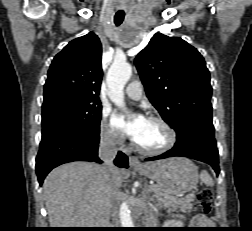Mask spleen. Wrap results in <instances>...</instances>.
I'll use <instances>...</instances> for the list:
<instances>
[{
  "label": "spleen",
  "instance_id": "3e777b00",
  "mask_svg": "<svg viewBox=\"0 0 252 231\" xmlns=\"http://www.w3.org/2000/svg\"><path fill=\"white\" fill-rule=\"evenodd\" d=\"M200 179L207 186H213L214 185L213 179L211 178V176L206 171L201 172Z\"/></svg>",
  "mask_w": 252,
  "mask_h": 231
}]
</instances>
